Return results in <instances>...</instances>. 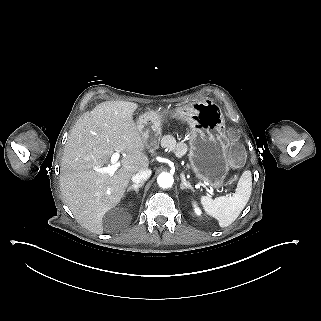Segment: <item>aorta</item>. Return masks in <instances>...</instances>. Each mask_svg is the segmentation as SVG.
Returning <instances> with one entry per match:
<instances>
[{"label": "aorta", "mask_w": 321, "mask_h": 321, "mask_svg": "<svg viewBox=\"0 0 321 321\" xmlns=\"http://www.w3.org/2000/svg\"><path fill=\"white\" fill-rule=\"evenodd\" d=\"M174 178L170 173L163 172L157 178V183L162 188H169L173 185Z\"/></svg>", "instance_id": "1"}]
</instances>
